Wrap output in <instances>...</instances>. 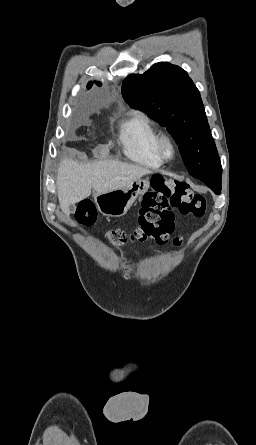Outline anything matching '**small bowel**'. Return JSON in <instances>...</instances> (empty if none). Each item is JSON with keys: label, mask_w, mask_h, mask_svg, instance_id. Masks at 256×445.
<instances>
[{"label": "small bowel", "mask_w": 256, "mask_h": 445, "mask_svg": "<svg viewBox=\"0 0 256 445\" xmlns=\"http://www.w3.org/2000/svg\"><path fill=\"white\" fill-rule=\"evenodd\" d=\"M173 243H174V245L178 246V245H180V243H181V239H180L179 237H176V238L173 240Z\"/></svg>", "instance_id": "c3829d8e"}]
</instances>
